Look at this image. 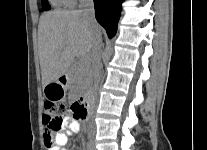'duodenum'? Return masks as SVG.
I'll use <instances>...</instances> for the list:
<instances>
[{
  "label": "duodenum",
  "instance_id": "1",
  "mask_svg": "<svg viewBox=\"0 0 207 150\" xmlns=\"http://www.w3.org/2000/svg\"><path fill=\"white\" fill-rule=\"evenodd\" d=\"M61 82L65 84L67 82L66 77H62ZM76 110L80 113L81 117L86 118L91 109V98L89 94L82 97L76 104Z\"/></svg>",
  "mask_w": 207,
  "mask_h": 150
}]
</instances>
